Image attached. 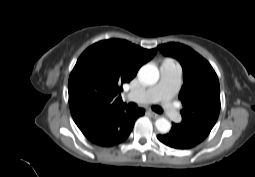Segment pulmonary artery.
Segmentation results:
<instances>
[{
	"instance_id": "obj_1",
	"label": "pulmonary artery",
	"mask_w": 255,
	"mask_h": 177,
	"mask_svg": "<svg viewBox=\"0 0 255 177\" xmlns=\"http://www.w3.org/2000/svg\"><path fill=\"white\" fill-rule=\"evenodd\" d=\"M180 83V69L169 64H163L161 67V77L156 85L139 93H130L128 98L145 104L161 102L168 117L175 122H179L181 115L171 100L178 91Z\"/></svg>"
}]
</instances>
